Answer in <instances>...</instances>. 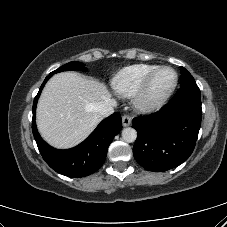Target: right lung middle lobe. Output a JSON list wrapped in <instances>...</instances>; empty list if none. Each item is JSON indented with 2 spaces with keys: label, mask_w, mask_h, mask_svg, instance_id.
Returning <instances> with one entry per match:
<instances>
[{
  "label": "right lung middle lobe",
  "mask_w": 227,
  "mask_h": 227,
  "mask_svg": "<svg viewBox=\"0 0 227 227\" xmlns=\"http://www.w3.org/2000/svg\"><path fill=\"white\" fill-rule=\"evenodd\" d=\"M71 70H82V71H85L86 68H85L84 64H82L80 62H77V61H73V62H69V63L61 66L57 70L51 72V74L53 75V74L58 73V72L71 71Z\"/></svg>",
  "instance_id": "dd1d6c3e"
}]
</instances>
